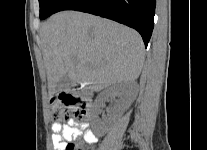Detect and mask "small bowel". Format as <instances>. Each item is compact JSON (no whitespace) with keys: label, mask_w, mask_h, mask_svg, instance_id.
Instances as JSON below:
<instances>
[{"label":"small bowel","mask_w":207,"mask_h":150,"mask_svg":"<svg viewBox=\"0 0 207 150\" xmlns=\"http://www.w3.org/2000/svg\"><path fill=\"white\" fill-rule=\"evenodd\" d=\"M52 145L54 150H66L68 143L83 136L87 145L96 143L98 137L91 130L89 123L84 122L79 125L73 119H70L66 124H52Z\"/></svg>","instance_id":"small-bowel-1"}]
</instances>
